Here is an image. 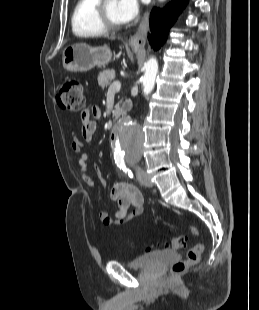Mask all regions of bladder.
Returning <instances> with one entry per match:
<instances>
[{
    "mask_svg": "<svg viewBox=\"0 0 259 310\" xmlns=\"http://www.w3.org/2000/svg\"><path fill=\"white\" fill-rule=\"evenodd\" d=\"M175 251H152L147 252L132 261L126 263V266L131 269H144L156 265L162 261L175 258Z\"/></svg>",
    "mask_w": 259,
    "mask_h": 310,
    "instance_id": "1",
    "label": "bladder"
}]
</instances>
